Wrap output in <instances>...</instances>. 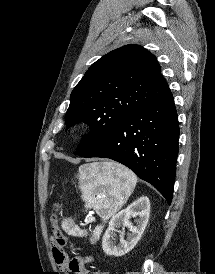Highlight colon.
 <instances>
[{
    "label": "colon",
    "instance_id": "colon-1",
    "mask_svg": "<svg viewBox=\"0 0 215 274\" xmlns=\"http://www.w3.org/2000/svg\"><path fill=\"white\" fill-rule=\"evenodd\" d=\"M54 210H55V213L51 218L52 242H55L56 244H58L60 246H65L67 243V239L59 225V213L61 210V206L58 203H56ZM103 274H109V273L107 271H105V272H103Z\"/></svg>",
    "mask_w": 215,
    "mask_h": 274
}]
</instances>
